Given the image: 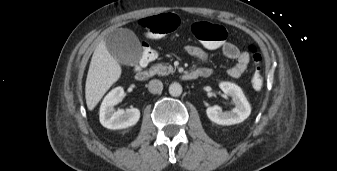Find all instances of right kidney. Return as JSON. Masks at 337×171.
<instances>
[{
	"instance_id": "ca27d5eb",
	"label": "right kidney",
	"mask_w": 337,
	"mask_h": 171,
	"mask_svg": "<svg viewBox=\"0 0 337 171\" xmlns=\"http://www.w3.org/2000/svg\"><path fill=\"white\" fill-rule=\"evenodd\" d=\"M124 90L116 87L104 98L99 113L100 123L108 129H124L135 125L140 118V111L137 108H130L126 111L115 110L114 106L122 101Z\"/></svg>"
}]
</instances>
